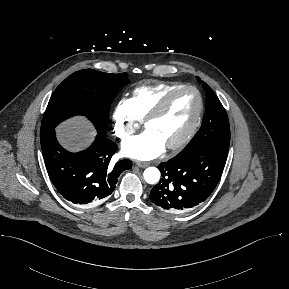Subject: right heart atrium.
I'll return each instance as SVG.
<instances>
[{"label": "right heart atrium", "instance_id": "right-heart-atrium-1", "mask_svg": "<svg viewBox=\"0 0 289 289\" xmlns=\"http://www.w3.org/2000/svg\"><path fill=\"white\" fill-rule=\"evenodd\" d=\"M113 132L120 140L131 136L140 123L135 117L130 99L122 98L115 105L112 112Z\"/></svg>", "mask_w": 289, "mask_h": 289}]
</instances>
